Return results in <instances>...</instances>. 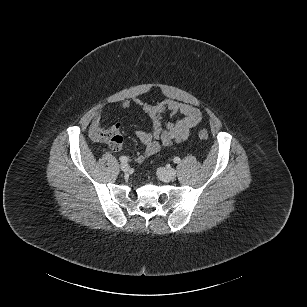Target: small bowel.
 I'll use <instances>...</instances> for the list:
<instances>
[{"instance_id": "c3829d8e", "label": "small bowel", "mask_w": 307, "mask_h": 307, "mask_svg": "<svg viewBox=\"0 0 307 307\" xmlns=\"http://www.w3.org/2000/svg\"><path fill=\"white\" fill-rule=\"evenodd\" d=\"M149 118L152 128L151 132L138 130L136 135L143 145L141 154L134 157L138 163L144 161L147 157L157 153L161 146H171L175 143L186 141L192 128L197 126L202 118L200 110L190 104L181 103L174 100H164L155 105L142 101H136ZM132 102L126 100L120 107L127 109L131 107ZM169 113L171 116H179L174 121L165 122L163 115ZM103 110H99L94 116L89 128V136L93 141L108 143V137L111 132L119 131V125L115 124L105 128L102 124Z\"/></svg>"}]
</instances>
